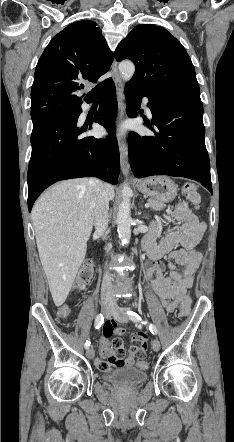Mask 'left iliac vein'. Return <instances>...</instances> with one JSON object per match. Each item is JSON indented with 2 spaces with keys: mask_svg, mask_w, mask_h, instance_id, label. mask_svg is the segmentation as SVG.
Masks as SVG:
<instances>
[{
  "mask_svg": "<svg viewBox=\"0 0 234 442\" xmlns=\"http://www.w3.org/2000/svg\"><path fill=\"white\" fill-rule=\"evenodd\" d=\"M112 315L114 319H116L118 322L125 323L128 321V316L125 314L123 309H121L116 303L112 304ZM152 348L154 351H159L160 349V342L157 338H155L152 341Z\"/></svg>",
  "mask_w": 234,
  "mask_h": 442,
  "instance_id": "obj_1",
  "label": "left iliac vein"
}]
</instances>
